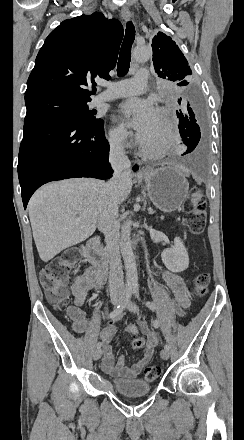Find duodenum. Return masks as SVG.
<instances>
[{
	"label": "duodenum",
	"mask_w": 244,
	"mask_h": 440,
	"mask_svg": "<svg viewBox=\"0 0 244 440\" xmlns=\"http://www.w3.org/2000/svg\"><path fill=\"white\" fill-rule=\"evenodd\" d=\"M85 255L90 264L105 274L111 263V256L100 250L99 240L92 238L87 242Z\"/></svg>",
	"instance_id": "duodenum-1"
}]
</instances>
